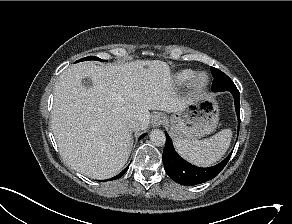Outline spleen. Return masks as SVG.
<instances>
[{"mask_svg": "<svg viewBox=\"0 0 292 224\" xmlns=\"http://www.w3.org/2000/svg\"><path fill=\"white\" fill-rule=\"evenodd\" d=\"M232 131L223 129L204 140L176 139L175 147L189 162L207 167L217 162L230 146Z\"/></svg>", "mask_w": 292, "mask_h": 224, "instance_id": "obj_1", "label": "spleen"}]
</instances>
